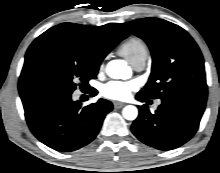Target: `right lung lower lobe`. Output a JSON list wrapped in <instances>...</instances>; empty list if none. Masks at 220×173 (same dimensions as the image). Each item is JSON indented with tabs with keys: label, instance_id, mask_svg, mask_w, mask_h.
Masks as SVG:
<instances>
[{
	"label": "right lung lower lobe",
	"instance_id": "98d812e1",
	"mask_svg": "<svg viewBox=\"0 0 220 173\" xmlns=\"http://www.w3.org/2000/svg\"><path fill=\"white\" fill-rule=\"evenodd\" d=\"M71 94L50 89L21 94L31 132L42 143L61 152L75 151L90 143L113 109L105 99L82 108L79 101H72Z\"/></svg>",
	"mask_w": 220,
	"mask_h": 173
}]
</instances>
